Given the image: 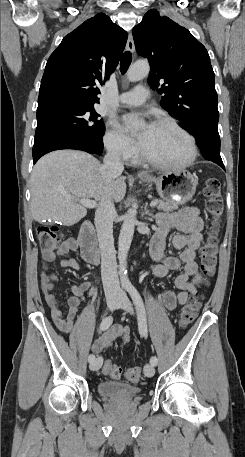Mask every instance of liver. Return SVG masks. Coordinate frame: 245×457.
<instances>
[{
    "mask_svg": "<svg viewBox=\"0 0 245 457\" xmlns=\"http://www.w3.org/2000/svg\"><path fill=\"white\" fill-rule=\"evenodd\" d=\"M101 162L83 150H53L39 158L31 172V212L34 220H59L66 226L75 224L87 214V208L75 198L105 196L122 200L126 176H117L105 184ZM69 196V198H66Z\"/></svg>",
    "mask_w": 245,
    "mask_h": 457,
    "instance_id": "6515ba94",
    "label": "liver"
}]
</instances>
